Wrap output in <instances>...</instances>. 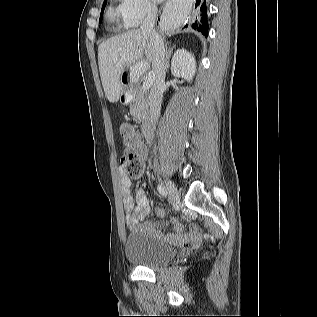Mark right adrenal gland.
<instances>
[{
    "instance_id": "2a0ac1e0",
    "label": "right adrenal gland",
    "mask_w": 317,
    "mask_h": 317,
    "mask_svg": "<svg viewBox=\"0 0 317 317\" xmlns=\"http://www.w3.org/2000/svg\"><path fill=\"white\" fill-rule=\"evenodd\" d=\"M175 48V46H173V47H168L167 45H166V61H167V70L166 71H168V68H169V60H170V57H171V54H172V52H173V49Z\"/></svg>"
}]
</instances>
